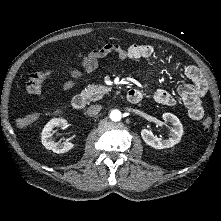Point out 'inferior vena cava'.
<instances>
[{"label": "inferior vena cava", "mask_w": 221, "mask_h": 221, "mask_svg": "<svg viewBox=\"0 0 221 221\" xmlns=\"http://www.w3.org/2000/svg\"><path fill=\"white\" fill-rule=\"evenodd\" d=\"M101 109H102L101 105H91L87 109V115L90 117L96 116L100 112Z\"/></svg>", "instance_id": "602c4592"}]
</instances>
